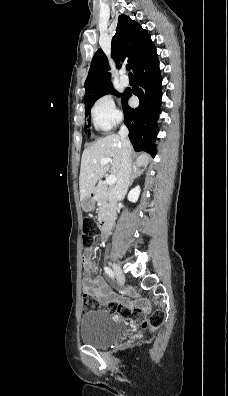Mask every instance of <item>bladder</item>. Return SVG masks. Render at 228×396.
Masks as SVG:
<instances>
[{
	"label": "bladder",
	"instance_id": "obj_1",
	"mask_svg": "<svg viewBox=\"0 0 228 396\" xmlns=\"http://www.w3.org/2000/svg\"><path fill=\"white\" fill-rule=\"evenodd\" d=\"M128 333L129 329L112 319L105 310L89 311L80 320L81 340L97 348L111 346L123 340Z\"/></svg>",
	"mask_w": 228,
	"mask_h": 396
}]
</instances>
